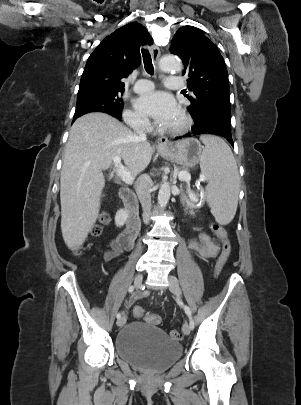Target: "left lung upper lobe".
I'll return each instance as SVG.
<instances>
[{
  "mask_svg": "<svg viewBox=\"0 0 301 405\" xmlns=\"http://www.w3.org/2000/svg\"><path fill=\"white\" fill-rule=\"evenodd\" d=\"M172 54L183 63L188 88L190 113L216 114L231 118L229 81L226 65L216 45L199 29L182 26L172 39Z\"/></svg>",
  "mask_w": 301,
  "mask_h": 405,
  "instance_id": "1",
  "label": "left lung upper lobe"
}]
</instances>
